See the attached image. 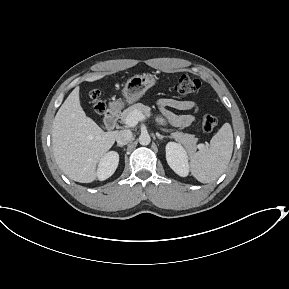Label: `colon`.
Returning <instances> with one entry per match:
<instances>
[{
	"label": "colon",
	"mask_w": 289,
	"mask_h": 289,
	"mask_svg": "<svg viewBox=\"0 0 289 289\" xmlns=\"http://www.w3.org/2000/svg\"><path fill=\"white\" fill-rule=\"evenodd\" d=\"M201 88V82L189 74L181 75L173 86V90L179 95L192 94L198 92ZM90 98L93 102L94 110L98 113H102L105 110V105L100 99L99 91L93 90L90 93ZM201 125L205 132H211L218 125V120L215 116L206 114L202 118Z\"/></svg>",
	"instance_id": "1"
}]
</instances>
